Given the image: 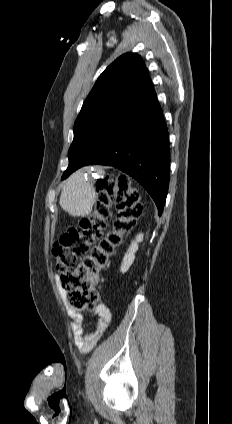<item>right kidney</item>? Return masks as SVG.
<instances>
[{"mask_svg": "<svg viewBox=\"0 0 232 424\" xmlns=\"http://www.w3.org/2000/svg\"><path fill=\"white\" fill-rule=\"evenodd\" d=\"M142 240H143V234H139L137 235L135 241L131 243V246L129 247L127 253L125 254L123 258V262L120 269L122 273L127 272L130 266L132 265V263L134 262L135 252L138 250V243L141 242Z\"/></svg>", "mask_w": 232, "mask_h": 424, "instance_id": "right-kidney-1", "label": "right kidney"}]
</instances>
